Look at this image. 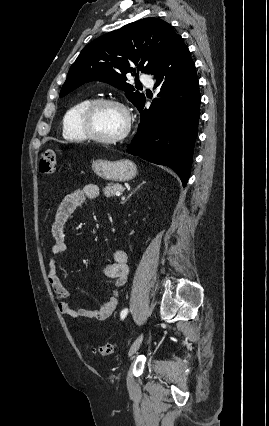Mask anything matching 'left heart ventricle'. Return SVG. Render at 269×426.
Returning <instances> with one entry per match:
<instances>
[{"instance_id": "left-heart-ventricle-1", "label": "left heart ventricle", "mask_w": 269, "mask_h": 426, "mask_svg": "<svg viewBox=\"0 0 269 426\" xmlns=\"http://www.w3.org/2000/svg\"><path fill=\"white\" fill-rule=\"evenodd\" d=\"M93 131L105 138L118 135L125 126L123 112L114 106H101L97 108L91 119Z\"/></svg>"}]
</instances>
